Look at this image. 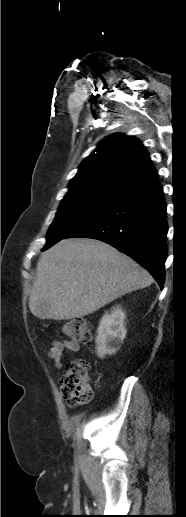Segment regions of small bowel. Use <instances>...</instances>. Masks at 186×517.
Instances as JSON below:
<instances>
[{"mask_svg":"<svg viewBox=\"0 0 186 517\" xmlns=\"http://www.w3.org/2000/svg\"><path fill=\"white\" fill-rule=\"evenodd\" d=\"M67 350L72 353H76L80 350L78 342L66 341V340H55L53 341L51 348L48 351V358L54 363L57 369L62 367L64 359V351Z\"/></svg>","mask_w":186,"mask_h":517,"instance_id":"small-bowel-1","label":"small bowel"}]
</instances>
